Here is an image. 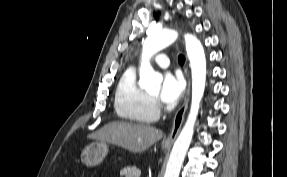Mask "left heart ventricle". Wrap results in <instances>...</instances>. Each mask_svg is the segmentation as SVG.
Returning <instances> with one entry per match:
<instances>
[{
	"instance_id": "1",
	"label": "left heart ventricle",
	"mask_w": 287,
	"mask_h": 177,
	"mask_svg": "<svg viewBox=\"0 0 287 177\" xmlns=\"http://www.w3.org/2000/svg\"><path fill=\"white\" fill-rule=\"evenodd\" d=\"M158 92H159V91H158V89H157V90L152 91L151 94L154 95V96H158Z\"/></svg>"
}]
</instances>
